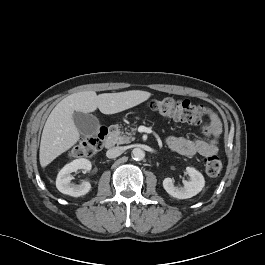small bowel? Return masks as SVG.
Listing matches in <instances>:
<instances>
[{
  "label": "small bowel",
  "mask_w": 265,
  "mask_h": 265,
  "mask_svg": "<svg viewBox=\"0 0 265 265\" xmlns=\"http://www.w3.org/2000/svg\"><path fill=\"white\" fill-rule=\"evenodd\" d=\"M209 123L203 128L204 137L188 139L171 136L166 143L169 149L184 156L201 155L208 157L218 151L217 139L221 133L222 125L217 114L210 108L204 107Z\"/></svg>",
  "instance_id": "1"
}]
</instances>
